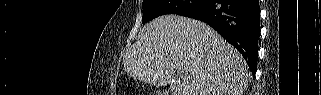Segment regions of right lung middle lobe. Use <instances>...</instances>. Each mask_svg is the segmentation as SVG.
Wrapping results in <instances>:
<instances>
[{
    "instance_id": "obj_1",
    "label": "right lung middle lobe",
    "mask_w": 321,
    "mask_h": 95,
    "mask_svg": "<svg viewBox=\"0 0 321 95\" xmlns=\"http://www.w3.org/2000/svg\"><path fill=\"white\" fill-rule=\"evenodd\" d=\"M207 0H143L142 23L165 14L182 16L196 13Z\"/></svg>"
}]
</instances>
